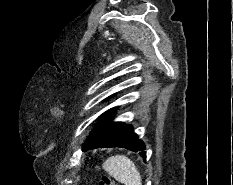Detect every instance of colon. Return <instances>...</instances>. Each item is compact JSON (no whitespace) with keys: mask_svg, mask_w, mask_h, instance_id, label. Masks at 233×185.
Wrapping results in <instances>:
<instances>
[{"mask_svg":"<svg viewBox=\"0 0 233 185\" xmlns=\"http://www.w3.org/2000/svg\"><path fill=\"white\" fill-rule=\"evenodd\" d=\"M99 185H116V184L110 177L103 176Z\"/></svg>","mask_w":233,"mask_h":185,"instance_id":"5ec220e1","label":"colon"}]
</instances>
